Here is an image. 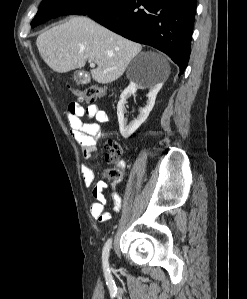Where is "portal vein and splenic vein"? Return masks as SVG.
I'll use <instances>...</instances> for the list:
<instances>
[{"label": "portal vein and splenic vein", "mask_w": 247, "mask_h": 299, "mask_svg": "<svg viewBox=\"0 0 247 299\" xmlns=\"http://www.w3.org/2000/svg\"><path fill=\"white\" fill-rule=\"evenodd\" d=\"M90 62V67H95V63L94 62H92V61H89Z\"/></svg>", "instance_id": "1"}]
</instances>
